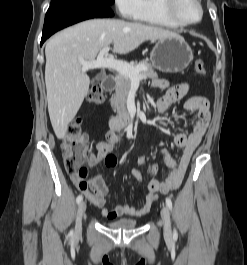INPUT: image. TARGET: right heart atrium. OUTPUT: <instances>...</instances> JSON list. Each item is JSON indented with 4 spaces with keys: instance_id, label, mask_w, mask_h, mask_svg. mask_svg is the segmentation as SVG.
<instances>
[{
    "instance_id": "d8ad5b80",
    "label": "right heart atrium",
    "mask_w": 247,
    "mask_h": 265,
    "mask_svg": "<svg viewBox=\"0 0 247 265\" xmlns=\"http://www.w3.org/2000/svg\"><path fill=\"white\" fill-rule=\"evenodd\" d=\"M119 13L127 18L134 19L140 9V0H114Z\"/></svg>"
}]
</instances>
